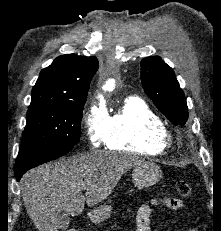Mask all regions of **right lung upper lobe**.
I'll return each instance as SVG.
<instances>
[{"label":"right lung upper lobe","instance_id":"right-lung-upper-lobe-1","mask_svg":"<svg viewBox=\"0 0 221 231\" xmlns=\"http://www.w3.org/2000/svg\"><path fill=\"white\" fill-rule=\"evenodd\" d=\"M98 65L96 57L75 54L57 57L49 67L40 72L32 89L30 105L86 99Z\"/></svg>","mask_w":221,"mask_h":231}]
</instances>
